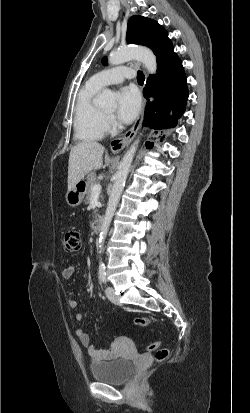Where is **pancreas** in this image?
Returning <instances> with one entry per match:
<instances>
[{"instance_id":"pancreas-1","label":"pancreas","mask_w":250,"mask_h":413,"mask_svg":"<svg viewBox=\"0 0 250 413\" xmlns=\"http://www.w3.org/2000/svg\"><path fill=\"white\" fill-rule=\"evenodd\" d=\"M86 180H87V183H86L85 202L89 203L91 195H92L93 186L96 185V184H99V179H98L96 173L90 172V173L87 174ZM100 198H102V196H100Z\"/></svg>"}]
</instances>
